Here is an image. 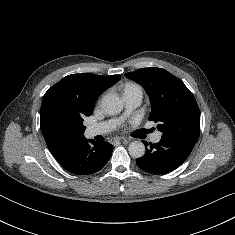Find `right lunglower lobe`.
I'll return each instance as SVG.
<instances>
[{
    "instance_id": "98d812e1",
    "label": "right lung lower lobe",
    "mask_w": 235,
    "mask_h": 235,
    "mask_svg": "<svg viewBox=\"0 0 235 235\" xmlns=\"http://www.w3.org/2000/svg\"><path fill=\"white\" fill-rule=\"evenodd\" d=\"M85 138L76 143L66 156L58 162L68 171L83 175L102 169L112 154L113 146L108 142H96Z\"/></svg>"
}]
</instances>
